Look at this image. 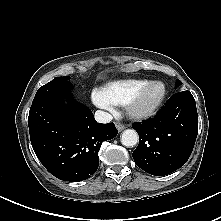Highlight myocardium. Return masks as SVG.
Here are the masks:
<instances>
[{
  "mask_svg": "<svg viewBox=\"0 0 221 221\" xmlns=\"http://www.w3.org/2000/svg\"><path fill=\"white\" fill-rule=\"evenodd\" d=\"M152 87H160L161 92L154 103L148 107H142L141 100L145 92ZM167 94L166 86L161 81H149L141 87L137 93L126 103L125 110L129 118L136 121H144L152 118L162 106Z\"/></svg>",
  "mask_w": 221,
  "mask_h": 221,
  "instance_id": "f54148a6",
  "label": "myocardium"
}]
</instances>
